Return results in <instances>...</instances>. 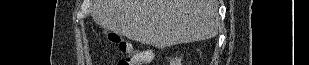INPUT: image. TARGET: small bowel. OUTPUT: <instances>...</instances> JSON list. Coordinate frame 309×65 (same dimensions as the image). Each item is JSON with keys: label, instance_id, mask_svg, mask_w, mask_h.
Instances as JSON below:
<instances>
[{"label": "small bowel", "instance_id": "1", "mask_svg": "<svg viewBox=\"0 0 309 65\" xmlns=\"http://www.w3.org/2000/svg\"><path fill=\"white\" fill-rule=\"evenodd\" d=\"M151 57H152V54L150 55V57L146 61H144V63L149 62L151 60Z\"/></svg>", "mask_w": 309, "mask_h": 65}]
</instances>
